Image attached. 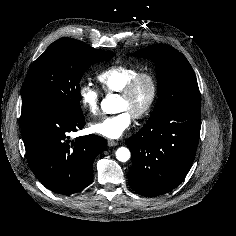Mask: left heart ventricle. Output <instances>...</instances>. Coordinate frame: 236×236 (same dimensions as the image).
<instances>
[{"instance_id":"1","label":"left heart ventricle","mask_w":236,"mask_h":236,"mask_svg":"<svg viewBox=\"0 0 236 236\" xmlns=\"http://www.w3.org/2000/svg\"><path fill=\"white\" fill-rule=\"evenodd\" d=\"M150 93V87L147 81H142L136 88L134 94L130 98L119 97L117 110H126L132 115L140 110L146 104Z\"/></svg>"}]
</instances>
